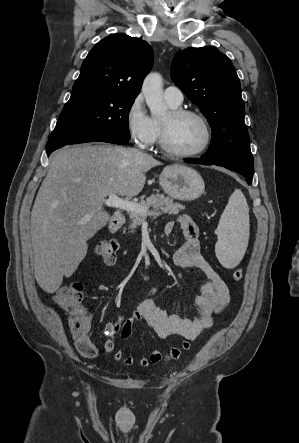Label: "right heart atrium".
Wrapping results in <instances>:
<instances>
[{
    "label": "right heart atrium",
    "mask_w": 299,
    "mask_h": 443,
    "mask_svg": "<svg viewBox=\"0 0 299 443\" xmlns=\"http://www.w3.org/2000/svg\"><path fill=\"white\" fill-rule=\"evenodd\" d=\"M125 124L130 139L137 147L145 149L154 143L156 127L141 94L135 96L126 108Z\"/></svg>",
    "instance_id": "d8ad5b80"
}]
</instances>
